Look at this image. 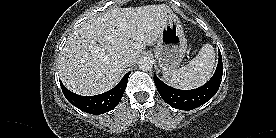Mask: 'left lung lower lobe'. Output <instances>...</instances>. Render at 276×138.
Returning a JSON list of instances; mask_svg holds the SVG:
<instances>
[{
    "label": "left lung lower lobe",
    "instance_id": "obj_1",
    "mask_svg": "<svg viewBox=\"0 0 276 138\" xmlns=\"http://www.w3.org/2000/svg\"><path fill=\"white\" fill-rule=\"evenodd\" d=\"M223 75L222 56L213 77L203 86L193 90H179L164 84L154 75V83L162 99L170 106L180 110H192L209 101L218 91Z\"/></svg>",
    "mask_w": 276,
    "mask_h": 138
}]
</instances>
